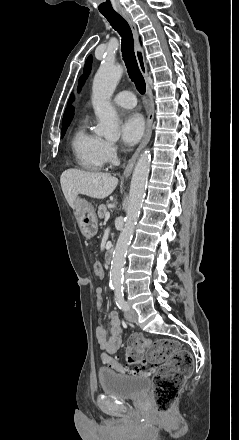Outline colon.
I'll return each mask as SVG.
<instances>
[{
  "mask_svg": "<svg viewBox=\"0 0 239 440\" xmlns=\"http://www.w3.org/2000/svg\"><path fill=\"white\" fill-rule=\"evenodd\" d=\"M93 271L98 276L103 273L98 260L93 262ZM145 351L148 353L149 363L143 359ZM125 355L128 365L124 366L117 360H113L114 370L119 373H154L155 407L161 414L168 412L184 382L192 373L194 366L192 354L180 348L173 340L150 341L143 335L135 333L128 338Z\"/></svg>",
  "mask_w": 239,
  "mask_h": 440,
  "instance_id": "obj_1",
  "label": "colon"
}]
</instances>
